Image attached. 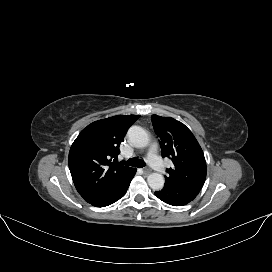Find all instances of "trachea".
<instances>
[{
	"mask_svg": "<svg viewBox=\"0 0 272 272\" xmlns=\"http://www.w3.org/2000/svg\"><path fill=\"white\" fill-rule=\"evenodd\" d=\"M125 164L128 166H137L139 168H143L146 165L142 159H139L137 157L129 159L127 162H125Z\"/></svg>",
	"mask_w": 272,
	"mask_h": 272,
	"instance_id": "obj_1",
	"label": "trachea"
}]
</instances>
